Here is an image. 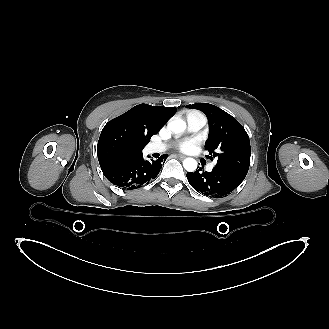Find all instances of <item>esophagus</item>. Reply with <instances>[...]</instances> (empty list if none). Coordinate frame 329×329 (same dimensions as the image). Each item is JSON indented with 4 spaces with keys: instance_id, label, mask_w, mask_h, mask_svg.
Instances as JSON below:
<instances>
[{
    "instance_id": "1",
    "label": "esophagus",
    "mask_w": 329,
    "mask_h": 329,
    "mask_svg": "<svg viewBox=\"0 0 329 329\" xmlns=\"http://www.w3.org/2000/svg\"><path fill=\"white\" fill-rule=\"evenodd\" d=\"M176 157L180 158V159H184L186 156L182 155V154H177Z\"/></svg>"
}]
</instances>
